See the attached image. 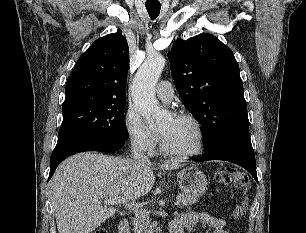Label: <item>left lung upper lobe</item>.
Returning a JSON list of instances; mask_svg holds the SVG:
<instances>
[{
  "label": "left lung upper lobe",
  "mask_w": 306,
  "mask_h": 233,
  "mask_svg": "<svg viewBox=\"0 0 306 233\" xmlns=\"http://www.w3.org/2000/svg\"><path fill=\"white\" fill-rule=\"evenodd\" d=\"M168 57L185 107L202 124L204 148L223 137L249 134L243 83L229 47L203 33L176 40Z\"/></svg>",
  "instance_id": "obj_1"
}]
</instances>
